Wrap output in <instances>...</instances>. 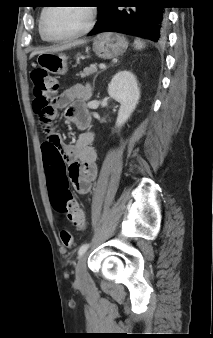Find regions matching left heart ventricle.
Here are the masks:
<instances>
[{"label": "left heart ventricle", "instance_id": "b2bd125f", "mask_svg": "<svg viewBox=\"0 0 213 338\" xmlns=\"http://www.w3.org/2000/svg\"><path fill=\"white\" fill-rule=\"evenodd\" d=\"M84 7H53L46 16L45 33L48 37H64L81 30L87 23Z\"/></svg>", "mask_w": 213, "mask_h": 338}]
</instances>
